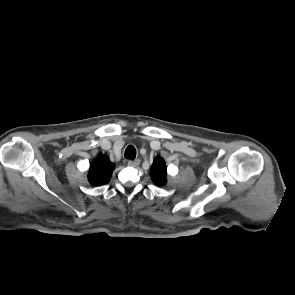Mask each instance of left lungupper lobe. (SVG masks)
Masks as SVG:
<instances>
[{
  "label": "left lung upper lobe",
  "instance_id": "obj_1",
  "mask_svg": "<svg viewBox=\"0 0 295 295\" xmlns=\"http://www.w3.org/2000/svg\"><path fill=\"white\" fill-rule=\"evenodd\" d=\"M151 179L155 185L163 186L166 182L167 168L163 158L156 157L150 170Z\"/></svg>",
  "mask_w": 295,
  "mask_h": 295
}]
</instances>
